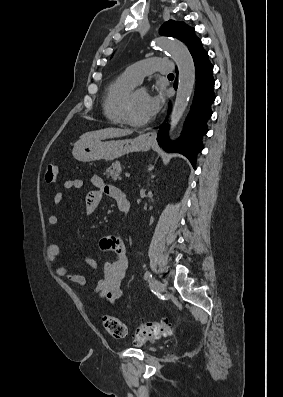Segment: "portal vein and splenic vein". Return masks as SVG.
<instances>
[{
    "label": "portal vein and splenic vein",
    "mask_w": 283,
    "mask_h": 397,
    "mask_svg": "<svg viewBox=\"0 0 283 397\" xmlns=\"http://www.w3.org/2000/svg\"><path fill=\"white\" fill-rule=\"evenodd\" d=\"M125 176L126 177H130V173H125Z\"/></svg>",
    "instance_id": "portal-vein-and-splenic-vein-1"
}]
</instances>
